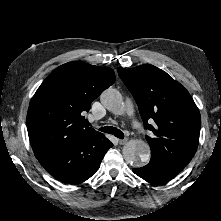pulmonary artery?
<instances>
[{
    "instance_id": "obj_1",
    "label": "pulmonary artery",
    "mask_w": 221,
    "mask_h": 221,
    "mask_svg": "<svg viewBox=\"0 0 221 221\" xmlns=\"http://www.w3.org/2000/svg\"><path fill=\"white\" fill-rule=\"evenodd\" d=\"M125 108L128 112H130V113L133 112L134 106H133V103L130 99H126Z\"/></svg>"
}]
</instances>
